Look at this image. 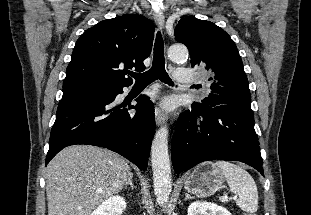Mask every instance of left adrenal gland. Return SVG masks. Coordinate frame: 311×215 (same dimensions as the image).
Returning <instances> with one entry per match:
<instances>
[{"mask_svg":"<svg viewBox=\"0 0 311 215\" xmlns=\"http://www.w3.org/2000/svg\"><path fill=\"white\" fill-rule=\"evenodd\" d=\"M192 197L188 194V193H185V200L187 199H191Z\"/></svg>","mask_w":311,"mask_h":215,"instance_id":"obj_1","label":"left adrenal gland"}]
</instances>
